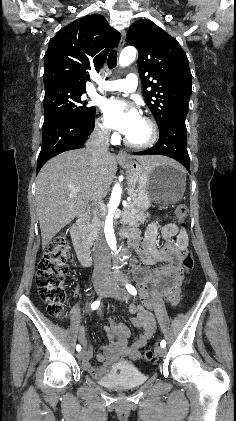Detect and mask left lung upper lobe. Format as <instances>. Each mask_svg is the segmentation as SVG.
Masks as SVG:
<instances>
[{
  "label": "left lung upper lobe",
  "instance_id": "5c2ea615",
  "mask_svg": "<svg viewBox=\"0 0 236 421\" xmlns=\"http://www.w3.org/2000/svg\"><path fill=\"white\" fill-rule=\"evenodd\" d=\"M127 39L139 51L143 94L158 127L172 114H187L192 75L188 58L177 40L150 20L134 22Z\"/></svg>",
  "mask_w": 236,
  "mask_h": 421
}]
</instances>
